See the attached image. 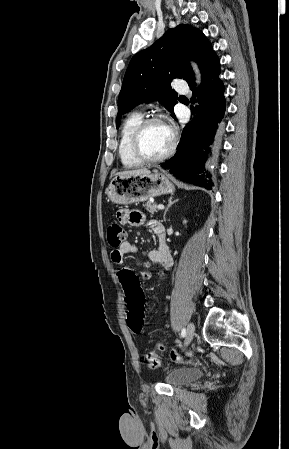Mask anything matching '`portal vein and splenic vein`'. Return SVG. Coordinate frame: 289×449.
<instances>
[{"label":"portal vein and splenic vein","instance_id":"obj_1","mask_svg":"<svg viewBox=\"0 0 289 449\" xmlns=\"http://www.w3.org/2000/svg\"><path fill=\"white\" fill-rule=\"evenodd\" d=\"M157 208H158L159 210H163V209H164V205L159 204V205H157Z\"/></svg>","mask_w":289,"mask_h":449}]
</instances>
